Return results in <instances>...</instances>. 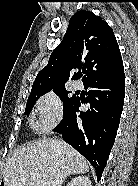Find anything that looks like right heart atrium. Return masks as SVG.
<instances>
[{
    "mask_svg": "<svg viewBox=\"0 0 138 186\" xmlns=\"http://www.w3.org/2000/svg\"><path fill=\"white\" fill-rule=\"evenodd\" d=\"M62 116V100L57 93L50 91L36 103L34 125L40 131H49L61 121Z\"/></svg>",
    "mask_w": 138,
    "mask_h": 186,
    "instance_id": "1",
    "label": "right heart atrium"
}]
</instances>
